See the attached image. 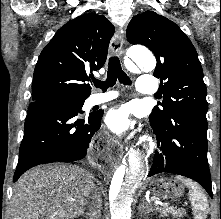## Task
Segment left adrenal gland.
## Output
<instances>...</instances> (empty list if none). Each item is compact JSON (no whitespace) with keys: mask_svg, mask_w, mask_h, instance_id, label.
<instances>
[{"mask_svg":"<svg viewBox=\"0 0 221 219\" xmlns=\"http://www.w3.org/2000/svg\"><path fill=\"white\" fill-rule=\"evenodd\" d=\"M138 210L141 216H145L146 214L152 211V208H150V206H148L147 204H140Z\"/></svg>","mask_w":221,"mask_h":219,"instance_id":"1","label":"left adrenal gland"}]
</instances>
